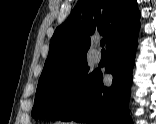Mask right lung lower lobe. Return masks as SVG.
<instances>
[{"mask_svg": "<svg viewBox=\"0 0 156 124\" xmlns=\"http://www.w3.org/2000/svg\"><path fill=\"white\" fill-rule=\"evenodd\" d=\"M139 27L116 39L107 49L112 61L106 72L113 75L111 87L103 85L99 71L82 100L60 120L86 124H132L128 114V99Z\"/></svg>", "mask_w": 156, "mask_h": 124, "instance_id": "obj_1", "label": "right lung lower lobe"}]
</instances>
